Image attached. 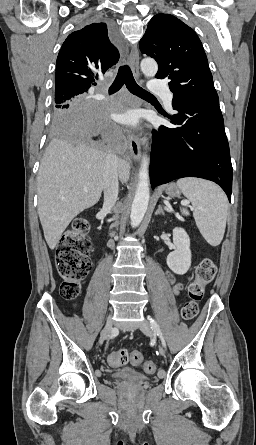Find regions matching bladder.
I'll list each match as a JSON object with an SVG mask.
<instances>
[{
    "label": "bladder",
    "instance_id": "31cf9c89",
    "mask_svg": "<svg viewBox=\"0 0 256 445\" xmlns=\"http://www.w3.org/2000/svg\"><path fill=\"white\" fill-rule=\"evenodd\" d=\"M112 376L117 380L129 382H145L148 380L146 375L131 367L117 369L112 373Z\"/></svg>",
    "mask_w": 256,
    "mask_h": 445
}]
</instances>
